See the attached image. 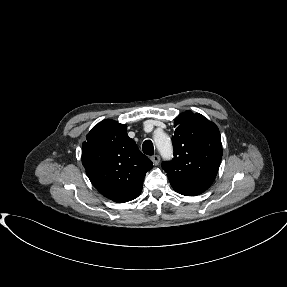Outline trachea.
<instances>
[{"label": "trachea", "instance_id": "trachea-1", "mask_svg": "<svg viewBox=\"0 0 287 287\" xmlns=\"http://www.w3.org/2000/svg\"><path fill=\"white\" fill-rule=\"evenodd\" d=\"M142 150L146 155H153L154 154V147L153 143L150 140L144 141L142 145Z\"/></svg>", "mask_w": 287, "mask_h": 287}]
</instances>
